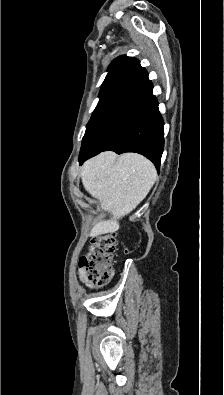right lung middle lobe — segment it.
<instances>
[{
	"label": "right lung middle lobe",
	"mask_w": 224,
	"mask_h": 395,
	"mask_svg": "<svg viewBox=\"0 0 224 395\" xmlns=\"http://www.w3.org/2000/svg\"><path fill=\"white\" fill-rule=\"evenodd\" d=\"M117 75H118V73L106 76V78H105V80H104V82L102 84L101 90L99 92V97H100L99 103L101 102V100L104 98V96L107 94V92L112 87Z\"/></svg>",
	"instance_id": "1"
}]
</instances>
